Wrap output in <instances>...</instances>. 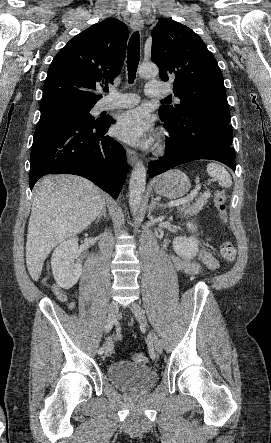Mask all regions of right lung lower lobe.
<instances>
[{"instance_id":"98d812e1","label":"right lung lower lobe","mask_w":271,"mask_h":443,"mask_svg":"<svg viewBox=\"0 0 271 443\" xmlns=\"http://www.w3.org/2000/svg\"><path fill=\"white\" fill-rule=\"evenodd\" d=\"M111 117L90 123L73 115L40 119L30 156L29 184L46 174H74L117 198L127 175L122 145L106 135Z\"/></svg>"}]
</instances>
